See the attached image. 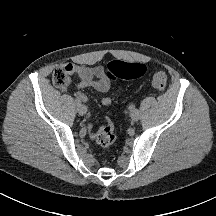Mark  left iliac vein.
<instances>
[{"instance_id": "left-iliac-vein-1", "label": "left iliac vein", "mask_w": 216, "mask_h": 216, "mask_svg": "<svg viewBox=\"0 0 216 216\" xmlns=\"http://www.w3.org/2000/svg\"><path fill=\"white\" fill-rule=\"evenodd\" d=\"M130 117L133 121H138V119L140 118V112L138 109H134L133 111H131L130 113Z\"/></svg>"}]
</instances>
